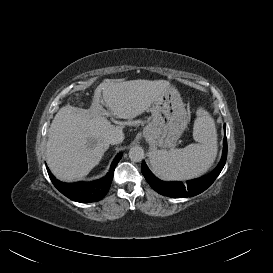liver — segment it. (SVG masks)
I'll use <instances>...</instances> for the list:
<instances>
[{
	"mask_svg": "<svg viewBox=\"0 0 273 273\" xmlns=\"http://www.w3.org/2000/svg\"><path fill=\"white\" fill-rule=\"evenodd\" d=\"M169 87L166 80L105 82L96 88L89 109L62 107L51 123L46 143V160L52 173L61 180L71 181L86 176L99 164L110 146L108 136L125 125L121 121H116L117 126L112 125L102 104L107 107L108 115L133 119Z\"/></svg>",
	"mask_w": 273,
	"mask_h": 273,
	"instance_id": "6515ba94",
	"label": "liver"
}]
</instances>
